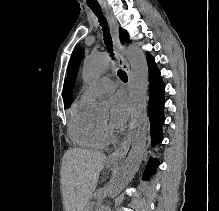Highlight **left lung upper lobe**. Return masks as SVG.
<instances>
[{
    "label": "left lung upper lobe",
    "mask_w": 219,
    "mask_h": 211,
    "mask_svg": "<svg viewBox=\"0 0 219 211\" xmlns=\"http://www.w3.org/2000/svg\"><path fill=\"white\" fill-rule=\"evenodd\" d=\"M120 32L122 34V37H123L124 41L125 42H130V40L128 38V33L123 29H120ZM83 53H84V51L81 47L75 48L73 53H72L70 62H69L68 82H69V85L72 88H73V85H74V80H75V77H76V74H77V71H78V66H79V63H80L81 58L83 56Z\"/></svg>",
    "instance_id": "5c2ea615"
}]
</instances>
